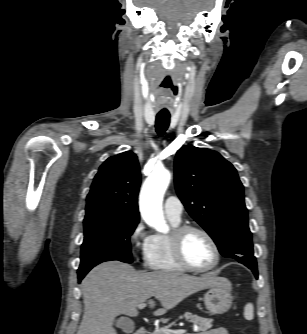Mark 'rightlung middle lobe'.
<instances>
[{"label":"right lung middle lobe","mask_w":307,"mask_h":334,"mask_svg":"<svg viewBox=\"0 0 307 334\" xmlns=\"http://www.w3.org/2000/svg\"><path fill=\"white\" fill-rule=\"evenodd\" d=\"M138 222L121 219H84V241L78 275L85 276L97 264L108 260L132 262L130 236Z\"/></svg>","instance_id":"1"}]
</instances>
